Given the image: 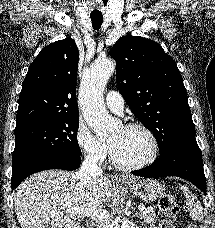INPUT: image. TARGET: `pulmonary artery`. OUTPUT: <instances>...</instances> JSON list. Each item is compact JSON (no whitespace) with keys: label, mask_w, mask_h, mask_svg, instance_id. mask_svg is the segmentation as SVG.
I'll return each instance as SVG.
<instances>
[{"label":"pulmonary artery","mask_w":215,"mask_h":228,"mask_svg":"<svg viewBox=\"0 0 215 228\" xmlns=\"http://www.w3.org/2000/svg\"><path fill=\"white\" fill-rule=\"evenodd\" d=\"M107 107L113 112L120 113L124 107V99L116 91H109L105 97Z\"/></svg>","instance_id":"obj_1"}]
</instances>
